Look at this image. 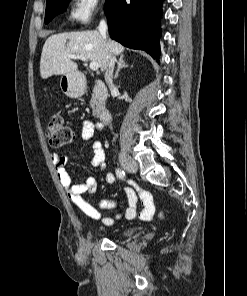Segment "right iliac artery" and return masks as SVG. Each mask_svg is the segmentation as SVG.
Masks as SVG:
<instances>
[{"mask_svg":"<svg viewBox=\"0 0 247 296\" xmlns=\"http://www.w3.org/2000/svg\"><path fill=\"white\" fill-rule=\"evenodd\" d=\"M116 175L119 179L125 178V172L120 168L116 169Z\"/></svg>","mask_w":247,"mask_h":296,"instance_id":"82829eb1","label":"right iliac artery"}]
</instances>
